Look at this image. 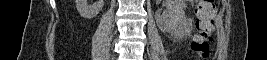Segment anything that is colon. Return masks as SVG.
<instances>
[{"label":"colon","instance_id":"5ec220e1","mask_svg":"<svg viewBox=\"0 0 267 60\" xmlns=\"http://www.w3.org/2000/svg\"><path fill=\"white\" fill-rule=\"evenodd\" d=\"M216 0H200L196 7L197 32L192 40V50L199 59H207L210 55V37L213 19L216 13Z\"/></svg>","mask_w":267,"mask_h":60}]
</instances>
